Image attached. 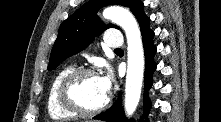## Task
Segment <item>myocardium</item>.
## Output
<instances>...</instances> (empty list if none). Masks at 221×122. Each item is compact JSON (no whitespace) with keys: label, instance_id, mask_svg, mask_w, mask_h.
<instances>
[{"label":"myocardium","instance_id":"myocardium-1","mask_svg":"<svg viewBox=\"0 0 221 122\" xmlns=\"http://www.w3.org/2000/svg\"><path fill=\"white\" fill-rule=\"evenodd\" d=\"M84 76H98L97 72L91 68H76L70 71L60 82L57 90L60 105L69 112L76 115L92 116L105 110L110 102V96L95 108H85L80 105L73 96V87L77 81Z\"/></svg>","mask_w":221,"mask_h":122}]
</instances>
